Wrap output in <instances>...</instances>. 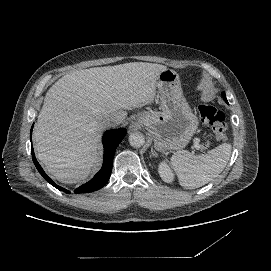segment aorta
Here are the masks:
<instances>
[{
    "mask_svg": "<svg viewBox=\"0 0 271 271\" xmlns=\"http://www.w3.org/2000/svg\"><path fill=\"white\" fill-rule=\"evenodd\" d=\"M129 143L134 148H140L145 144V136L141 132H133L129 136Z\"/></svg>",
    "mask_w": 271,
    "mask_h": 271,
    "instance_id": "obj_1",
    "label": "aorta"
}]
</instances>
